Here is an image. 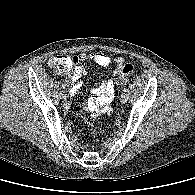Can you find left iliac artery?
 <instances>
[{
  "mask_svg": "<svg viewBox=\"0 0 195 195\" xmlns=\"http://www.w3.org/2000/svg\"><path fill=\"white\" fill-rule=\"evenodd\" d=\"M126 92H127V89H126V88H124V89H123V93H126Z\"/></svg>",
  "mask_w": 195,
  "mask_h": 195,
  "instance_id": "left-iliac-artery-1",
  "label": "left iliac artery"
}]
</instances>
